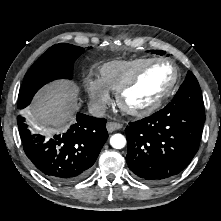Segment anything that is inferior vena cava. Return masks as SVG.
Returning a JSON list of instances; mask_svg holds the SVG:
<instances>
[{
  "label": "inferior vena cava",
  "instance_id": "obj_1",
  "mask_svg": "<svg viewBox=\"0 0 221 221\" xmlns=\"http://www.w3.org/2000/svg\"><path fill=\"white\" fill-rule=\"evenodd\" d=\"M89 113L94 117H103L106 113L107 106L101 100H93L88 104Z\"/></svg>",
  "mask_w": 221,
  "mask_h": 221
}]
</instances>
